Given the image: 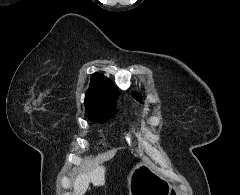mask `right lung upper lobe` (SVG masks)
<instances>
[{"label":"right lung upper lobe","mask_w":240,"mask_h":195,"mask_svg":"<svg viewBox=\"0 0 240 195\" xmlns=\"http://www.w3.org/2000/svg\"><path fill=\"white\" fill-rule=\"evenodd\" d=\"M119 91L104 75L95 73L90 81L89 90L84 104H113L116 103Z\"/></svg>","instance_id":"1"}]
</instances>
